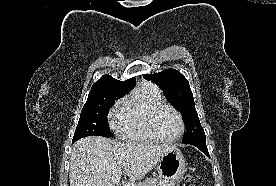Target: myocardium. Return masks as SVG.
<instances>
[{"label":"myocardium","mask_w":276,"mask_h":186,"mask_svg":"<svg viewBox=\"0 0 276 186\" xmlns=\"http://www.w3.org/2000/svg\"><path fill=\"white\" fill-rule=\"evenodd\" d=\"M164 108H168V109L172 110L177 115V117L179 118V121H180V124H181V129H180L179 134L177 136H175L174 138H165V137L161 136L159 134V132L157 131L156 119H157V116L160 113V111ZM148 126H149L151 134L158 141H161V142H164V143H174V142L180 140L183 137V135L185 133V129H186L185 121H184V118H183V115L181 114V112L177 108H175L173 105L165 103V102L156 105L151 110L150 115H149V119H148Z\"/></svg>","instance_id":"f54148a6"}]
</instances>
